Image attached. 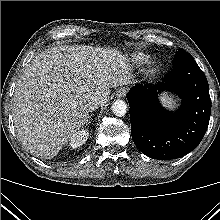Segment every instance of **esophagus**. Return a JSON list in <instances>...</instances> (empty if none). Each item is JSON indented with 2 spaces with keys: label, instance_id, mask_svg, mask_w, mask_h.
Instances as JSON below:
<instances>
[{
  "label": "esophagus",
  "instance_id": "34e87169",
  "mask_svg": "<svg viewBox=\"0 0 220 220\" xmlns=\"http://www.w3.org/2000/svg\"><path fill=\"white\" fill-rule=\"evenodd\" d=\"M126 89L125 88H121V89H119V91L117 92V97L118 98H122V97H124L125 95H126Z\"/></svg>",
  "mask_w": 220,
  "mask_h": 220
}]
</instances>
